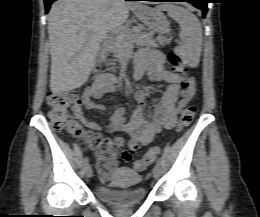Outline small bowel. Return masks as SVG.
I'll use <instances>...</instances> for the list:
<instances>
[{
    "label": "small bowel",
    "instance_id": "c3829d8e",
    "mask_svg": "<svg viewBox=\"0 0 260 217\" xmlns=\"http://www.w3.org/2000/svg\"><path fill=\"white\" fill-rule=\"evenodd\" d=\"M145 72L148 73L152 81L167 83V88L161 100L154 106L149 117H146L143 106L147 102V96L143 90H137L135 97L139 102V107L135 110L131 118L129 120L125 118V108L120 106L114 109L110 123L112 130L126 133L131 137L128 146L132 153L139 147L151 143L153 138L162 129H172L176 124L177 114L195 94V81L190 77L193 83L188 93L180 95L182 78L167 69L165 55L160 51L144 49L137 54L134 79H140ZM107 76L112 78L110 86L100 87L98 85L99 79H97L93 86L87 88L85 102L82 105H76L72 108L75 117L85 126L94 130H99L101 126L96 122H90L86 119L83 107L97 111L105 110V106L97 103L95 100L113 90L116 79L111 75ZM114 144L117 148H122L124 140L121 137H115ZM130 158L111 152L103 156L102 159H108L109 164L107 169L110 175L116 170L119 159L128 161ZM109 175L101 174L103 179H107Z\"/></svg>",
    "mask_w": 260,
    "mask_h": 217
}]
</instances>
